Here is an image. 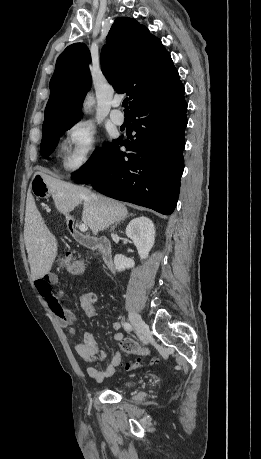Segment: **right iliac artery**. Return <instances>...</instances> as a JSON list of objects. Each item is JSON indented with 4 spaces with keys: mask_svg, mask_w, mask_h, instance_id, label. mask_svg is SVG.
<instances>
[{
    "mask_svg": "<svg viewBox=\"0 0 261 459\" xmlns=\"http://www.w3.org/2000/svg\"><path fill=\"white\" fill-rule=\"evenodd\" d=\"M123 327H124V329H125L127 332L132 331V325H131L130 323H128V322H125V323L123 324Z\"/></svg>",
    "mask_w": 261,
    "mask_h": 459,
    "instance_id": "1",
    "label": "right iliac artery"
}]
</instances>
